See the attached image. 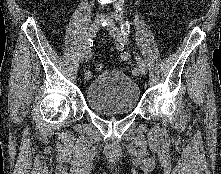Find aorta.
Returning a JSON list of instances; mask_svg holds the SVG:
<instances>
[{
	"instance_id": "obj_1",
	"label": "aorta",
	"mask_w": 221,
	"mask_h": 174,
	"mask_svg": "<svg viewBox=\"0 0 221 174\" xmlns=\"http://www.w3.org/2000/svg\"><path fill=\"white\" fill-rule=\"evenodd\" d=\"M121 1H123V0H119L118 2H116V7L120 8V6L122 4Z\"/></svg>"
}]
</instances>
